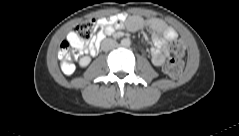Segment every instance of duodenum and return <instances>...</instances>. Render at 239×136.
I'll return each instance as SVG.
<instances>
[{
  "label": "duodenum",
  "mask_w": 239,
  "mask_h": 136,
  "mask_svg": "<svg viewBox=\"0 0 239 136\" xmlns=\"http://www.w3.org/2000/svg\"><path fill=\"white\" fill-rule=\"evenodd\" d=\"M104 38H105V35H103V34L96 37L95 42L92 45L91 50H90L92 55L97 54V52L99 51V48H100V44L104 40Z\"/></svg>",
  "instance_id": "1"
}]
</instances>
